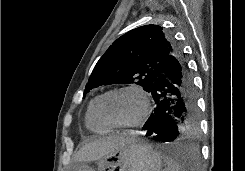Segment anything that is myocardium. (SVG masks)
<instances>
[{"mask_svg": "<svg viewBox=\"0 0 245 171\" xmlns=\"http://www.w3.org/2000/svg\"><path fill=\"white\" fill-rule=\"evenodd\" d=\"M121 91H133L135 93H137L142 101V110L139 114V116L128 123H114L111 120H109L103 111V103L104 100L106 99V97H108L109 95L116 93V92H121ZM150 111V100L149 97L147 95V93L144 91L143 88H141L140 86L137 85H133V84H128V85H122V86H118V87H114L108 91H106L105 93H103L100 97L99 100L97 102V115L99 117V119L108 127L113 128V129H130V128H135L140 126L147 118L148 114Z\"/></svg>", "mask_w": 245, "mask_h": 171, "instance_id": "1", "label": "myocardium"}]
</instances>
